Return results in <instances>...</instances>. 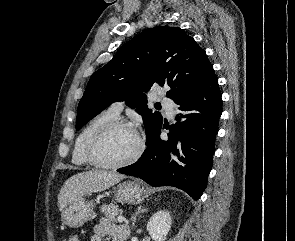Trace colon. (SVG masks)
<instances>
[{
    "label": "colon",
    "mask_w": 295,
    "mask_h": 241,
    "mask_svg": "<svg viewBox=\"0 0 295 241\" xmlns=\"http://www.w3.org/2000/svg\"><path fill=\"white\" fill-rule=\"evenodd\" d=\"M70 241H81V238L76 236L70 239Z\"/></svg>",
    "instance_id": "colon-1"
}]
</instances>
